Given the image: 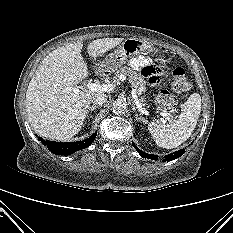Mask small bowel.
Masks as SVG:
<instances>
[{
  "mask_svg": "<svg viewBox=\"0 0 233 233\" xmlns=\"http://www.w3.org/2000/svg\"><path fill=\"white\" fill-rule=\"evenodd\" d=\"M129 65L144 76L147 77L152 83H156L159 80L161 70L152 64V61L147 56H137L129 61Z\"/></svg>",
  "mask_w": 233,
  "mask_h": 233,
  "instance_id": "1",
  "label": "small bowel"
}]
</instances>
